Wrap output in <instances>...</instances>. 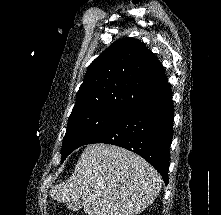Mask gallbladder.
<instances>
[{
	"mask_svg": "<svg viewBox=\"0 0 221 215\" xmlns=\"http://www.w3.org/2000/svg\"><path fill=\"white\" fill-rule=\"evenodd\" d=\"M67 206L69 210L79 211L83 207L82 199L80 198L77 202H70Z\"/></svg>",
	"mask_w": 221,
	"mask_h": 215,
	"instance_id": "obj_1",
	"label": "gallbladder"
}]
</instances>
